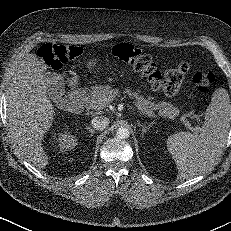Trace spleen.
Here are the masks:
<instances>
[{
	"instance_id": "1",
	"label": "spleen",
	"mask_w": 231,
	"mask_h": 231,
	"mask_svg": "<svg viewBox=\"0 0 231 231\" xmlns=\"http://www.w3.org/2000/svg\"><path fill=\"white\" fill-rule=\"evenodd\" d=\"M222 94V96H220ZM231 121V104L225 91H216L195 133L178 132L166 141L178 169V179H192L207 171L222 153Z\"/></svg>"
}]
</instances>
